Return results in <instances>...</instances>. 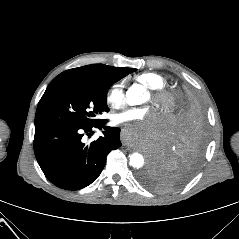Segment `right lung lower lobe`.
Returning <instances> with one entry per match:
<instances>
[{"mask_svg":"<svg viewBox=\"0 0 239 239\" xmlns=\"http://www.w3.org/2000/svg\"><path fill=\"white\" fill-rule=\"evenodd\" d=\"M102 120L88 126L41 124L35 126L34 152L47 179L59 188L78 190L97 179L111 150L121 146L120 129L104 127ZM104 127L103 136L86 144L84 134Z\"/></svg>","mask_w":239,"mask_h":239,"instance_id":"98d812e1","label":"right lung lower lobe"}]
</instances>
